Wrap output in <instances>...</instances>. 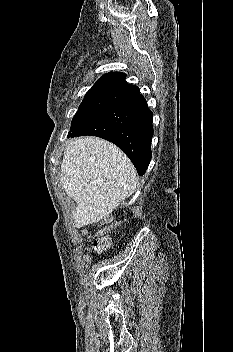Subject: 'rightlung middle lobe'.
Masks as SVG:
<instances>
[{
	"mask_svg": "<svg viewBox=\"0 0 233 352\" xmlns=\"http://www.w3.org/2000/svg\"><path fill=\"white\" fill-rule=\"evenodd\" d=\"M137 93V90L127 87H92L72 119L69 133L75 132L105 110Z\"/></svg>",
	"mask_w": 233,
	"mask_h": 352,
	"instance_id": "right-lung-middle-lobe-1",
	"label": "right lung middle lobe"
}]
</instances>
